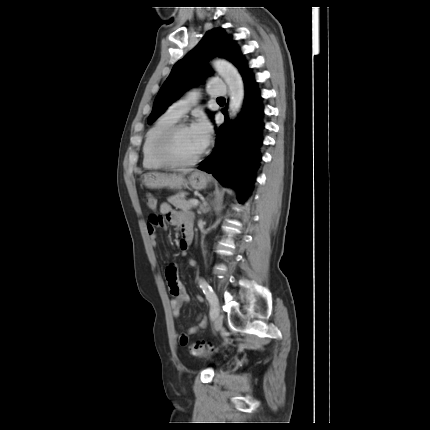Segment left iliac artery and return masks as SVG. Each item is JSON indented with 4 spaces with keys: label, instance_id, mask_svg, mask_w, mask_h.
Returning a JSON list of instances; mask_svg holds the SVG:
<instances>
[{
    "label": "left iliac artery",
    "instance_id": "left-iliac-artery-1",
    "mask_svg": "<svg viewBox=\"0 0 430 430\" xmlns=\"http://www.w3.org/2000/svg\"><path fill=\"white\" fill-rule=\"evenodd\" d=\"M199 285L211 305L210 318H213L215 315V308L218 306V298L205 279H200Z\"/></svg>",
    "mask_w": 430,
    "mask_h": 430
}]
</instances>
